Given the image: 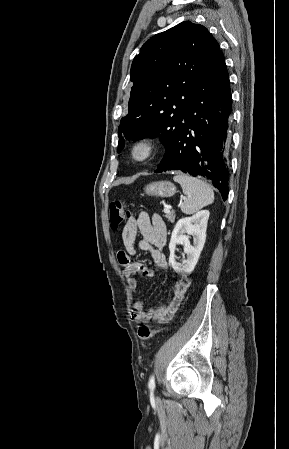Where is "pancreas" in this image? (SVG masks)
Segmentation results:
<instances>
[{"instance_id":"pancreas-1","label":"pancreas","mask_w":289,"mask_h":449,"mask_svg":"<svg viewBox=\"0 0 289 449\" xmlns=\"http://www.w3.org/2000/svg\"><path fill=\"white\" fill-rule=\"evenodd\" d=\"M166 218H167V220L169 221V222H174V220H175V214H174V211H172V212H169V213H166Z\"/></svg>"}]
</instances>
